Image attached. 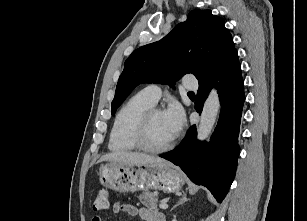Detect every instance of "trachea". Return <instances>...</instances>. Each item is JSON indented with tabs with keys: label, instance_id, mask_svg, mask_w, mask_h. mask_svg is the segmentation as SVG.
<instances>
[{
	"label": "trachea",
	"instance_id": "obj_1",
	"mask_svg": "<svg viewBox=\"0 0 307 221\" xmlns=\"http://www.w3.org/2000/svg\"><path fill=\"white\" fill-rule=\"evenodd\" d=\"M188 94H194L192 91L188 92Z\"/></svg>",
	"mask_w": 307,
	"mask_h": 221
}]
</instances>
